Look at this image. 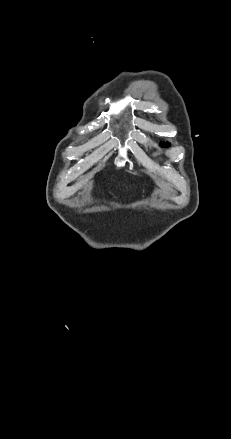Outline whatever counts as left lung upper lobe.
<instances>
[{
	"label": "left lung upper lobe",
	"instance_id": "left-lung-upper-lobe-1",
	"mask_svg": "<svg viewBox=\"0 0 231 439\" xmlns=\"http://www.w3.org/2000/svg\"><path fill=\"white\" fill-rule=\"evenodd\" d=\"M161 147H168L167 143H161Z\"/></svg>",
	"mask_w": 231,
	"mask_h": 439
}]
</instances>
